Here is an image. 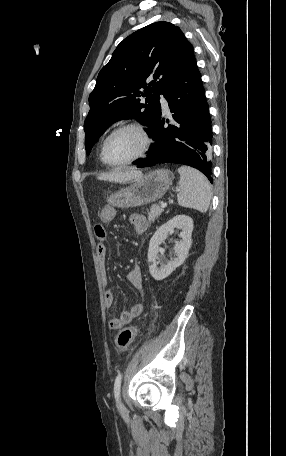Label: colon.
<instances>
[{
  "label": "colon",
  "instance_id": "colon-1",
  "mask_svg": "<svg viewBox=\"0 0 286 456\" xmlns=\"http://www.w3.org/2000/svg\"><path fill=\"white\" fill-rule=\"evenodd\" d=\"M137 331H138V329L136 327H128V328L123 329L116 338L117 348L126 349L134 340V338L137 334Z\"/></svg>",
  "mask_w": 286,
  "mask_h": 456
}]
</instances>
